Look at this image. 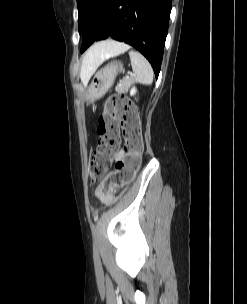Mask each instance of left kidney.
<instances>
[{
    "label": "left kidney",
    "mask_w": 247,
    "mask_h": 304,
    "mask_svg": "<svg viewBox=\"0 0 247 304\" xmlns=\"http://www.w3.org/2000/svg\"><path fill=\"white\" fill-rule=\"evenodd\" d=\"M136 91H137L136 88L133 87V88L130 90V95H131V96L135 95Z\"/></svg>",
    "instance_id": "5707ae66"
}]
</instances>
